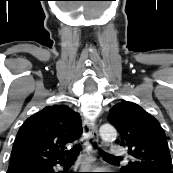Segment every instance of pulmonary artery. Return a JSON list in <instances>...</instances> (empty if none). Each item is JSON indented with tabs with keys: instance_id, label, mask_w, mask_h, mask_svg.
Returning <instances> with one entry per match:
<instances>
[{
	"instance_id": "pulmonary-artery-1",
	"label": "pulmonary artery",
	"mask_w": 173,
	"mask_h": 173,
	"mask_svg": "<svg viewBox=\"0 0 173 173\" xmlns=\"http://www.w3.org/2000/svg\"><path fill=\"white\" fill-rule=\"evenodd\" d=\"M110 154L112 156H124L125 155V150L124 148L120 146H111L110 147Z\"/></svg>"
}]
</instances>
